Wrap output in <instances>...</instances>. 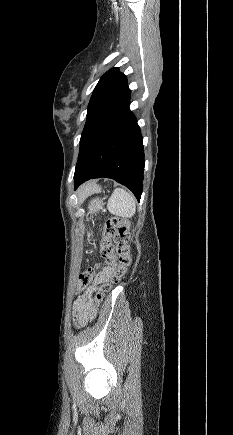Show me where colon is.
<instances>
[{
    "label": "colon",
    "mask_w": 233,
    "mask_h": 435,
    "mask_svg": "<svg viewBox=\"0 0 233 435\" xmlns=\"http://www.w3.org/2000/svg\"><path fill=\"white\" fill-rule=\"evenodd\" d=\"M130 221L120 217H111L104 223L102 239L100 243L103 263H97L88 268L79 276L81 288H87L102 266L114 268L113 276L109 281L100 282L99 288L94 295V303L87 310V318L96 316L98 306L104 295L123 278L132 263L131 248L127 242Z\"/></svg>",
    "instance_id": "1"
}]
</instances>
